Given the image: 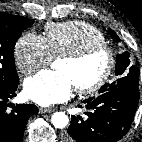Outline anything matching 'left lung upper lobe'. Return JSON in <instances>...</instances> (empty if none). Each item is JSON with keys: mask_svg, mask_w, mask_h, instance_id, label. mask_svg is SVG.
<instances>
[{"mask_svg": "<svg viewBox=\"0 0 142 142\" xmlns=\"http://www.w3.org/2000/svg\"><path fill=\"white\" fill-rule=\"evenodd\" d=\"M109 33L115 39L116 42H119V38L113 30L110 29ZM115 74L116 76H118L117 80L111 84L107 83L103 85L99 90L100 94L128 84L139 85L138 71L137 68L130 63L128 52H124L123 54L117 55Z\"/></svg>", "mask_w": 142, "mask_h": 142, "instance_id": "left-lung-upper-lobe-1", "label": "left lung upper lobe"}]
</instances>
